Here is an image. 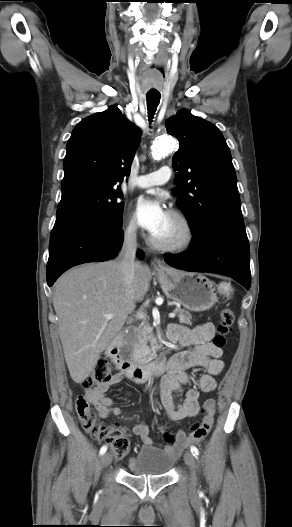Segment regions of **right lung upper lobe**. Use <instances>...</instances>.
Returning a JSON list of instances; mask_svg holds the SVG:
<instances>
[{"mask_svg": "<svg viewBox=\"0 0 292 527\" xmlns=\"http://www.w3.org/2000/svg\"><path fill=\"white\" fill-rule=\"evenodd\" d=\"M141 131L117 106L83 119L73 129L62 183L84 178L115 185L129 176Z\"/></svg>", "mask_w": 292, "mask_h": 527, "instance_id": "obj_1", "label": "right lung upper lobe"}]
</instances>
